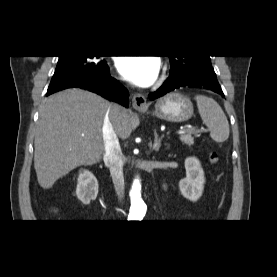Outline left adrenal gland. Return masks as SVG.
I'll list each match as a JSON object with an SVG mask.
<instances>
[{"label":"left adrenal gland","mask_w":277,"mask_h":277,"mask_svg":"<svg viewBox=\"0 0 277 277\" xmlns=\"http://www.w3.org/2000/svg\"><path fill=\"white\" fill-rule=\"evenodd\" d=\"M154 135H155V139H154L153 148L156 152H158L161 147V142H162L163 136L158 137L156 131H154Z\"/></svg>","instance_id":"left-adrenal-gland-1"}]
</instances>
